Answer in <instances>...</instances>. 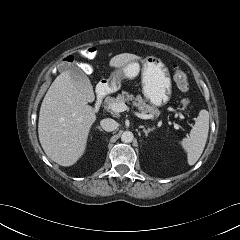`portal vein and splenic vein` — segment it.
I'll use <instances>...</instances> for the list:
<instances>
[{"label":"portal vein and splenic vein","instance_id":"portal-vein-and-splenic-vein-1","mask_svg":"<svg viewBox=\"0 0 240 240\" xmlns=\"http://www.w3.org/2000/svg\"><path fill=\"white\" fill-rule=\"evenodd\" d=\"M111 109L114 112H123V111H126V110L128 111L129 107L125 103H114V104H112ZM134 115L137 116L138 118L145 119V120L152 118L151 115H147V114H143V113H139V112H135V111H134ZM179 117L181 119L184 118L183 114L180 113V112H179ZM175 128L179 129L180 127L178 125H175Z\"/></svg>","mask_w":240,"mask_h":240}]
</instances>
